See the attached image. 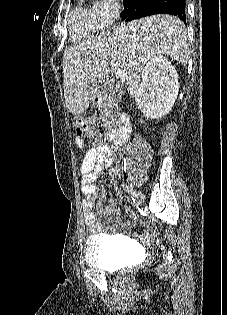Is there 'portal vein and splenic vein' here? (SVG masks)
Listing matches in <instances>:
<instances>
[{"instance_id": "1", "label": "portal vein and splenic vein", "mask_w": 227, "mask_h": 315, "mask_svg": "<svg viewBox=\"0 0 227 315\" xmlns=\"http://www.w3.org/2000/svg\"><path fill=\"white\" fill-rule=\"evenodd\" d=\"M111 71L115 74L117 79H124L126 77L125 70L118 68L114 63H111Z\"/></svg>"}]
</instances>
